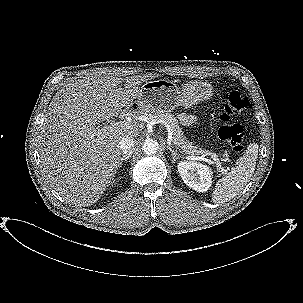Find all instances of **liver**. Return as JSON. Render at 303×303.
<instances>
[{
  "label": "liver",
  "instance_id": "6515ba94",
  "mask_svg": "<svg viewBox=\"0 0 303 303\" xmlns=\"http://www.w3.org/2000/svg\"><path fill=\"white\" fill-rule=\"evenodd\" d=\"M157 76L122 79L94 73L55 94L39 130V154L51 187L67 203L90 206L113 181L121 161L119 141L137 137L138 126L103 132L96 125L131 106L139 97L138 86Z\"/></svg>",
  "mask_w": 303,
  "mask_h": 303
}]
</instances>
